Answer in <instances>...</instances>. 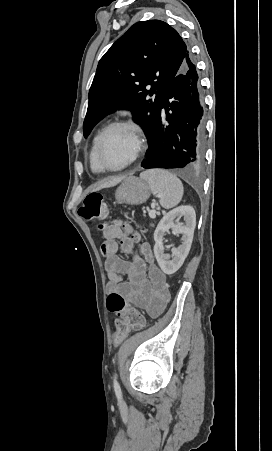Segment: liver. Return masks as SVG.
Returning a JSON list of instances; mask_svg holds the SVG:
<instances>
[{
	"mask_svg": "<svg viewBox=\"0 0 272 451\" xmlns=\"http://www.w3.org/2000/svg\"><path fill=\"white\" fill-rule=\"evenodd\" d=\"M125 176H117V178H113V180H109V182H104V184H101L100 188H111V186H116V184H119L121 180H124Z\"/></svg>",
	"mask_w": 272,
	"mask_h": 451,
	"instance_id": "liver-1",
	"label": "liver"
}]
</instances>
